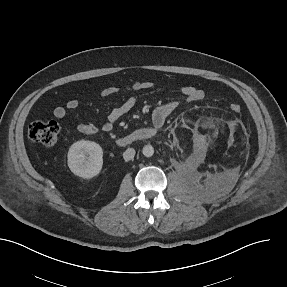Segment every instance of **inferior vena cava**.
<instances>
[{"instance_id":"obj_1","label":"inferior vena cava","mask_w":287,"mask_h":287,"mask_svg":"<svg viewBox=\"0 0 287 287\" xmlns=\"http://www.w3.org/2000/svg\"><path fill=\"white\" fill-rule=\"evenodd\" d=\"M135 149L134 148H128L126 151L123 153V158L125 161L132 160L135 156Z\"/></svg>"}]
</instances>
